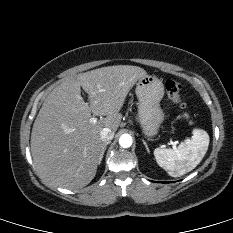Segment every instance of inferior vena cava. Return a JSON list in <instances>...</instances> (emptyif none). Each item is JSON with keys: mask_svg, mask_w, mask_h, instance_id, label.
I'll use <instances>...</instances> for the list:
<instances>
[{"mask_svg": "<svg viewBox=\"0 0 233 233\" xmlns=\"http://www.w3.org/2000/svg\"><path fill=\"white\" fill-rule=\"evenodd\" d=\"M114 137V132L110 128H103L100 132L101 140L105 142H110Z\"/></svg>", "mask_w": 233, "mask_h": 233, "instance_id": "inferior-vena-cava-1", "label": "inferior vena cava"}]
</instances>
